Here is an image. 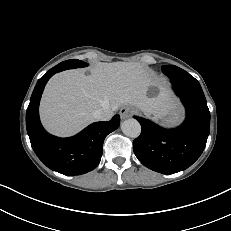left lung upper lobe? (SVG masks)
<instances>
[{"label":"left lung upper lobe","instance_id":"obj_1","mask_svg":"<svg viewBox=\"0 0 231 231\" xmlns=\"http://www.w3.org/2000/svg\"><path fill=\"white\" fill-rule=\"evenodd\" d=\"M174 67H177V66H173V65H171V66H163L162 70H164V69H170V68H174Z\"/></svg>","mask_w":231,"mask_h":231}]
</instances>
